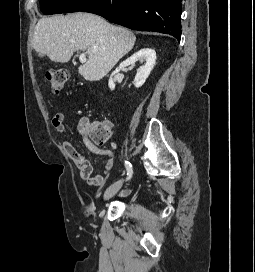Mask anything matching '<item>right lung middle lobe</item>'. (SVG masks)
<instances>
[{"label": "right lung middle lobe", "mask_w": 255, "mask_h": 272, "mask_svg": "<svg viewBox=\"0 0 255 272\" xmlns=\"http://www.w3.org/2000/svg\"><path fill=\"white\" fill-rule=\"evenodd\" d=\"M95 0H40V7L44 14H58L78 12L86 8Z\"/></svg>", "instance_id": "1"}]
</instances>
